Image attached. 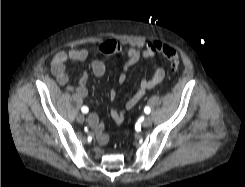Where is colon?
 Instances as JSON below:
<instances>
[{
	"instance_id": "colon-1",
	"label": "colon",
	"mask_w": 245,
	"mask_h": 187,
	"mask_svg": "<svg viewBox=\"0 0 245 187\" xmlns=\"http://www.w3.org/2000/svg\"><path fill=\"white\" fill-rule=\"evenodd\" d=\"M155 51L168 60L173 70H176L179 67L180 57L177 51L173 47L167 44H162V45L156 46Z\"/></svg>"
}]
</instances>
